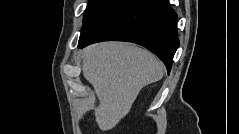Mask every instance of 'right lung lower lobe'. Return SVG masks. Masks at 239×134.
Segmentation results:
<instances>
[{"mask_svg": "<svg viewBox=\"0 0 239 134\" xmlns=\"http://www.w3.org/2000/svg\"><path fill=\"white\" fill-rule=\"evenodd\" d=\"M176 22L168 0H125L80 38L78 47L106 40L134 42L156 54L170 71L179 46Z\"/></svg>", "mask_w": 239, "mask_h": 134, "instance_id": "obj_1", "label": "right lung lower lobe"}]
</instances>
